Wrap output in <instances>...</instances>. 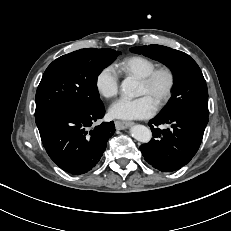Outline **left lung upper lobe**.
Listing matches in <instances>:
<instances>
[{"label":"left lung upper lobe","mask_w":231,"mask_h":231,"mask_svg":"<svg viewBox=\"0 0 231 231\" xmlns=\"http://www.w3.org/2000/svg\"><path fill=\"white\" fill-rule=\"evenodd\" d=\"M130 51L158 60L173 72L172 97L159 115L178 111L209 115L207 85L199 66L189 55L160 45L132 47Z\"/></svg>","instance_id":"obj_1"}]
</instances>
